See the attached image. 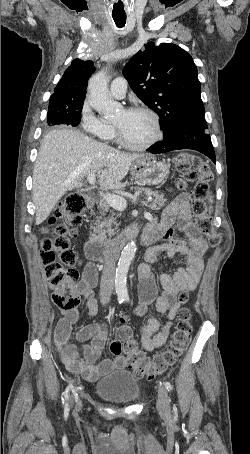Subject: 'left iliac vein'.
<instances>
[{
    "mask_svg": "<svg viewBox=\"0 0 250 454\" xmlns=\"http://www.w3.org/2000/svg\"><path fill=\"white\" fill-rule=\"evenodd\" d=\"M157 409L161 414H167L170 409L168 392L164 386H158Z\"/></svg>",
    "mask_w": 250,
    "mask_h": 454,
    "instance_id": "obj_1",
    "label": "left iliac vein"
}]
</instances>
